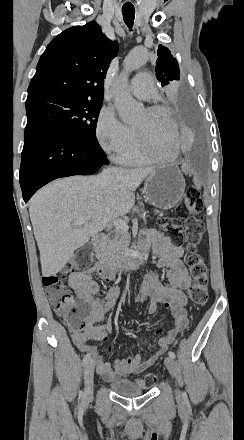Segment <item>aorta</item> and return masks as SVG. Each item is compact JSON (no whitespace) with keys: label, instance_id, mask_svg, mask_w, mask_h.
I'll use <instances>...</instances> for the list:
<instances>
[{"label":"aorta","instance_id":"obj_1","mask_svg":"<svg viewBox=\"0 0 244 440\" xmlns=\"http://www.w3.org/2000/svg\"><path fill=\"white\" fill-rule=\"evenodd\" d=\"M147 59L148 51L146 48L137 47L131 50L125 58L123 72L113 83L114 104L120 118L126 124L135 122L143 107L128 90V75L131 71L143 66Z\"/></svg>","mask_w":244,"mask_h":440}]
</instances>
